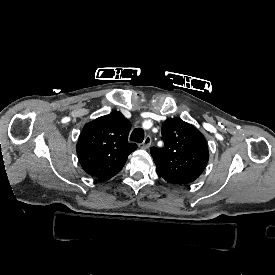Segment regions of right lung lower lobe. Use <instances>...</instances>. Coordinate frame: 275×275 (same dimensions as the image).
I'll list each match as a JSON object with an SVG mask.
<instances>
[{
    "label": "right lung lower lobe",
    "mask_w": 275,
    "mask_h": 275,
    "mask_svg": "<svg viewBox=\"0 0 275 275\" xmlns=\"http://www.w3.org/2000/svg\"><path fill=\"white\" fill-rule=\"evenodd\" d=\"M99 180H101V181H105L106 179H104V178H99Z\"/></svg>",
    "instance_id": "right-lung-lower-lobe-1"
}]
</instances>
